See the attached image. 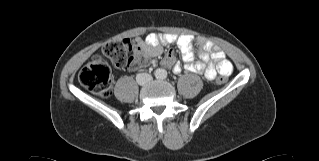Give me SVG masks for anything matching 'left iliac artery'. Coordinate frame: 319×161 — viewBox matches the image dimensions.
<instances>
[{
    "mask_svg": "<svg viewBox=\"0 0 319 161\" xmlns=\"http://www.w3.org/2000/svg\"><path fill=\"white\" fill-rule=\"evenodd\" d=\"M160 77H161L162 79H166V78H167V73H166L165 71H163V72L161 73Z\"/></svg>",
    "mask_w": 319,
    "mask_h": 161,
    "instance_id": "1",
    "label": "left iliac artery"
}]
</instances>
